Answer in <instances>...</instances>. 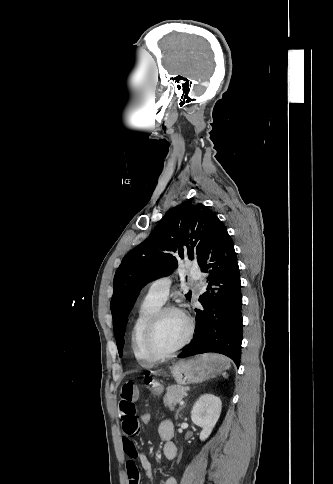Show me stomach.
Here are the masks:
<instances>
[{"label": "stomach", "instance_id": "stomach-1", "mask_svg": "<svg viewBox=\"0 0 333 484\" xmlns=\"http://www.w3.org/2000/svg\"><path fill=\"white\" fill-rule=\"evenodd\" d=\"M229 360L217 354H203L189 359H183L173 364L169 370L178 385H188L203 382L221 374L229 367ZM159 372L151 371L146 378V386L153 393L160 394L162 385L156 380Z\"/></svg>", "mask_w": 333, "mask_h": 484}]
</instances>
